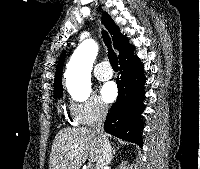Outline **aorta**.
<instances>
[{"label":"aorta","instance_id":"obj_1","mask_svg":"<svg viewBox=\"0 0 200 169\" xmlns=\"http://www.w3.org/2000/svg\"><path fill=\"white\" fill-rule=\"evenodd\" d=\"M98 46L91 40L83 41L72 54L66 70V85L70 94L79 100L91 93V70L97 56Z\"/></svg>","mask_w":200,"mask_h":169}]
</instances>
